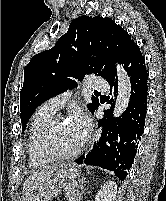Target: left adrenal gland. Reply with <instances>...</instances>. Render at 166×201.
I'll return each instance as SVG.
<instances>
[{"label": "left adrenal gland", "instance_id": "obj_1", "mask_svg": "<svg viewBox=\"0 0 166 201\" xmlns=\"http://www.w3.org/2000/svg\"><path fill=\"white\" fill-rule=\"evenodd\" d=\"M78 182H79V184H80V186H79V188H80V193H79V199L82 197V195L84 194V191H85V189H84V182H85V177H82L81 179H79L78 180Z\"/></svg>", "mask_w": 166, "mask_h": 201}]
</instances>
